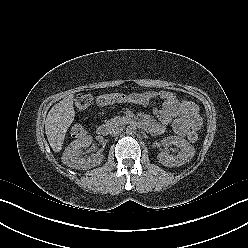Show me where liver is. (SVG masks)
Here are the masks:
<instances>
[{"label": "liver", "mask_w": 248, "mask_h": 248, "mask_svg": "<svg viewBox=\"0 0 248 248\" xmlns=\"http://www.w3.org/2000/svg\"><path fill=\"white\" fill-rule=\"evenodd\" d=\"M73 98L69 95L55 104L46 117V135L54 152L61 151L66 132L74 120Z\"/></svg>", "instance_id": "obj_1"}]
</instances>
